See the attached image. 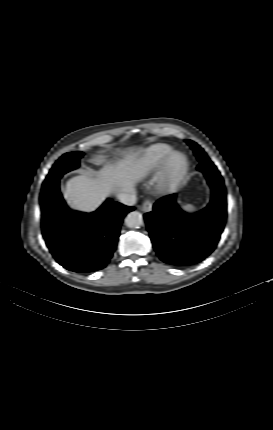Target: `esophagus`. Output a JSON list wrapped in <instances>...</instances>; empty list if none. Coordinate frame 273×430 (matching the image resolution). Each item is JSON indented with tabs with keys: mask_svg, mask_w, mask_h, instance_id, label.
Instances as JSON below:
<instances>
[{
	"mask_svg": "<svg viewBox=\"0 0 273 430\" xmlns=\"http://www.w3.org/2000/svg\"><path fill=\"white\" fill-rule=\"evenodd\" d=\"M151 210H152V201L146 200L141 206V211L150 212Z\"/></svg>",
	"mask_w": 273,
	"mask_h": 430,
	"instance_id": "esophagus-1",
	"label": "esophagus"
}]
</instances>
